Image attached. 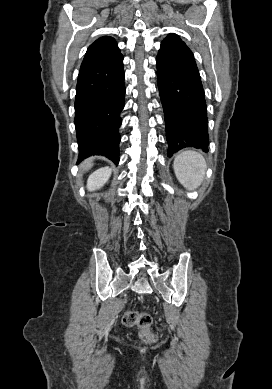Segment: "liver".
<instances>
[{"label": "liver", "mask_w": 272, "mask_h": 389, "mask_svg": "<svg viewBox=\"0 0 272 389\" xmlns=\"http://www.w3.org/2000/svg\"><path fill=\"white\" fill-rule=\"evenodd\" d=\"M92 166H93L92 160L89 159V160H86V161H84L83 163H81L80 168H81L82 172H86V171H88Z\"/></svg>", "instance_id": "1"}]
</instances>
